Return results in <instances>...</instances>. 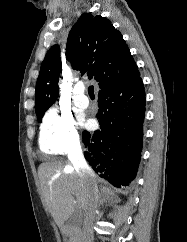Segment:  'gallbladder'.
<instances>
[{
    "instance_id": "gallbladder-1",
    "label": "gallbladder",
    "mask_w": 187,
    "mask_h": 242,
    "mask_svg": "<svg viewBox=\"0 0 187 242\" xmlns=\"http://www.w3.org/2000/svg\"><path fill=\"white\" fill-rule=\"evenodd\" d=\"M72 220H73V218L68 219L67 224H71Z\"/></svg>"
}]
</instances>
